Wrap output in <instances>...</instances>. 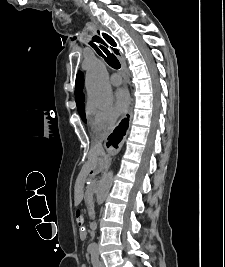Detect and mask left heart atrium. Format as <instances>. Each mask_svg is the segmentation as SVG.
<instances>
[{
  "mask_svg": "<svg viewBox=\"0 0 225 267\" xmlns=\"http://www.w3.org/2000/svg\"><path fill=\"white\" fill-rule=\"evenodd\" d=\"M130 102L129 94L124 89H118L114 94V105L118 113H123L127 110Z\"/></svg>",
  "mask_w": 225,
  "mask_h": 267,
  "instance_id": "39dd6f15",
  "label": "left heart atrium"
}]
</instances>
